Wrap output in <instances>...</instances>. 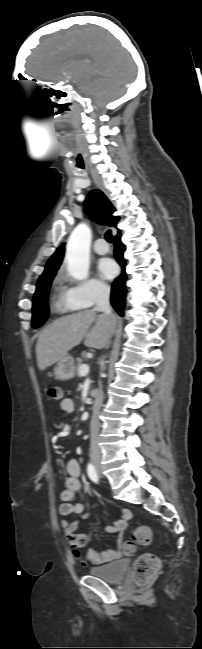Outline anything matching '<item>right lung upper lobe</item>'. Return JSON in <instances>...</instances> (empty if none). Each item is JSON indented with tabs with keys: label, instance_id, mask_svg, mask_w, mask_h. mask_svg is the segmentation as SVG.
I'll list each match as a JSON object with an SVG mask.
<instances>
[{
	"label": "right lung upper lobe",
	"instance_id": "cb5924a9",
	"mask_svg": "<svg viewBox=\"0 0 202 649\" xmlns=\"http://www.w3.org/2000/svg\"><path fill=\"white\" fill-rule=\"evenodd\" d=\"M84 207L87 214L95 221L109 225L111 227H116L119 220L118 216H113L115 208L110 203L108 198L98 189L91 191L85 202ZM64 256V244L60 246L52 257L48 260L44 273L40 276H45L50 273H53L59 269L61 262Z\"/></svg>",
	"mask_w": 202,
	"mask_h": 649
}]
</instances>
